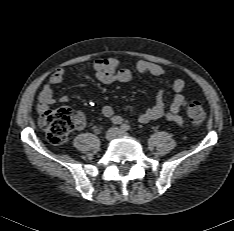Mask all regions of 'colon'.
Returning a JSON list of instances; mask_svg holds the SVG:
<instances>
[{"instance_id":"5ec220e1","label":"colon","mask_w":234,"mask_h":231,"mask_svg":"<svg viewBox=\"0 0 234 231\" xmlns=\"http://www.w3.org/2000/svg\"><path fill=\"white\" fill-rule=\"evenodd\" d=\"M186 113L190 122L195 125L202 124L206 119L205 110L197 101L188 103ZM40 125L46 131L48 140L59 145L67 140L69 133L75 127V122L69 109L59 108L43 112Z\"/></svg>"}]
</instances>
